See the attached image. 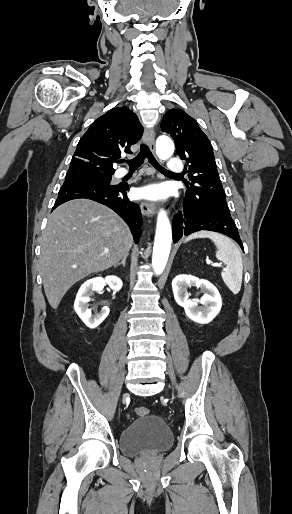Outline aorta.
<instances>
[{"mask_svg":"<svg viewBox=\"0 0 292 514\" xmlns=\"http://www.w3.org/2000/svg\"><path fill=\"white\" fill-rule=\"evenodd\" d=\"M156 154L159 160H169L174 154V144L168 136H160L156 142ZM172 242L170 222L166 212L160 210L157 218L156 236L152 256V268L155 274H162L168 262Z\"/></svg>","mask_w":292,"mask_h":514,"instance_id":"obj_1","label":"aorta"}]
</instances>
